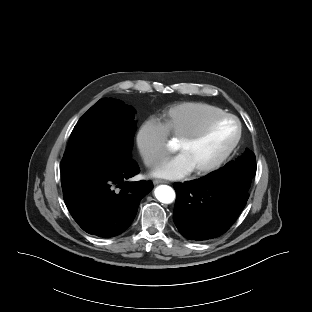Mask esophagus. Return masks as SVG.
I'll use <instances>...</instances> for the list:
<instances>
[{"instance_id":"esophagus-1","label":"esophagus","mask_w":312,"mask_h":312,"mask_svg":"<svg viewBox=\"0 0 312 312\" xmlns=\"http://www.w3.org/2000/svg\"><path fill=\"white\" fill-rule=\"evenodd\" d=\"M153 183L156 185V184H168L169 182L168 181H165V180H160V179H156L153 181Z\"/></svg>"}]
</instances>
